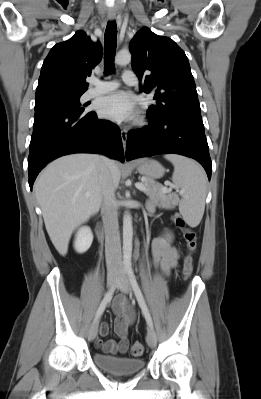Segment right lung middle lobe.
Here are the masks:
<instances>
[{
  "mask_svg": "<svg viewBox=\"0 0 261 399\" xmlns=\"http://www.w3.org/2000/svg\"><path fill=\"white\" fill-rule=\"evenodd\" d=\"M81 95L60 96L36 101L35 112L60 107L83 113L84 109L80 107L79 102Z\"/></svg>",
  "mask_w": 261,
  "mask_h": 399,
  "instance_id": "1",
  "label": "right lung middle lobe"
}]
</instances>
